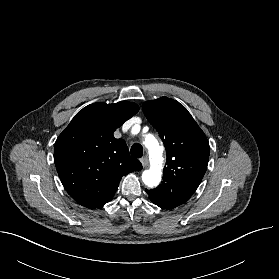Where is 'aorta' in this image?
<instances>
[{
	"mask_svg": "<svg viewBox=\"0 0 279 279\" xmlns=\"http://www.w3.org/2000/svg\"><path fill=\"white\" fill-rule=\"evenodd\" d=\"M145 145L152 157V166L149 170L143 172L142 180L148 187H154L161 181L163 148L159 146L157 140L151 135L146 137Z\"/></svg>",
	"mask_w": 279,
	"mask_h": 279,
	"instance_id": "obj_1",
	"label": "aorta"
}]
</instances>
